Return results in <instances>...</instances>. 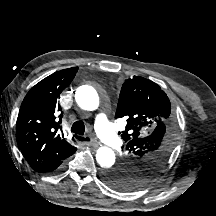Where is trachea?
I'll use <instances>...</instances> for the list:
<instances>
[{"mask_svg":"<svg viewBox=\"0 0 216 216\" xmlns=\"http://www.w3.org/2000/svg\"><path fill=\"white\" fill-rule=\"evenodd\" d=\"M71 131L75 134L84 135L85 133V125L82 121H76L73 123L71 127ZM83 141V140H81Z\"/></svg>","mask_w":216,"mask_h":216,"instance_id":"1","label":"trachea"}]
</instances>
